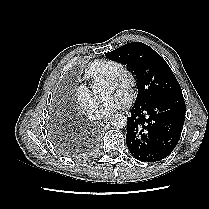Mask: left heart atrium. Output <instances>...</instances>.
<instances>
[{
  "instance_id": "left-heart-atrium-1",
  "label": "left heart atrium",
  "mask_w": 209,
  "mask_h": 209,
  "mask_svg": "<svg viewBox=\"0 0 209 209\" xmlns=\"http://www.w3.org/2000/svg\"><path fill=\"white\" fill-rule=\"evenodd\" d=\"M130 102V97L123 91H117L111 99L103 104L100 110L101 116H109L116 111L123 109Z\"/></svg>"
}]
</instances>
